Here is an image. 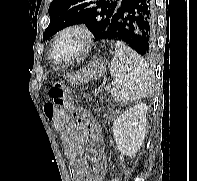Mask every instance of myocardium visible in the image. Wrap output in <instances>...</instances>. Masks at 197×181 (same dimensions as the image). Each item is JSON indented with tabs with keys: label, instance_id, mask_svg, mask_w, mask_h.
<instances>
[{
	"label": "myocardium",
	"instance_id": "f54148a6",
	"mask_svg": "<svg viewBox=\"0 0 197 181\" xmlns=\"http://www.w3.org/2000/svg\"><path fill=\"white\" fill-rule=\"evenodd\" d=\"M69 33L78 34L81 38L80 44L78 48L76 49V51L69 58L65 60H58L55 56L57 43L63 36ZM93 41H94L93 32L86 25H83V24L69 25L63 28L55 37L53 44H52L51 58L53 59L55 63H58V64L70 63L74 61L75 59H77L78 57H80L85 52H87L91 48Z\"/></svg>",
	"mask_w": 197,
	"mask_h": 181
}]
</instances>
